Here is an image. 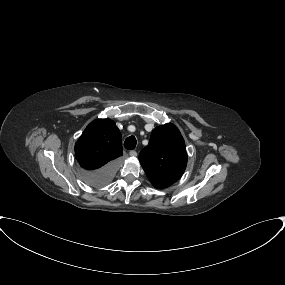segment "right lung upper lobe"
<instances>
[{
    "mask_svg": "<svg viewBox=\"0 0 285 285\" xmlns=\"http://www.w3.org/2000/svg\"><path fill=\"white\" fill-rule=\"evenodd\" d=\"M122 136L110 119L90 123L75 145V156L85 171L97 170L123 155Z\"/></svg>",
    "mask_w": 285,
    "mask_h": 285,
    "instance_id": "1",
    "label": "right lung upper lobe"
}]
</instances>
